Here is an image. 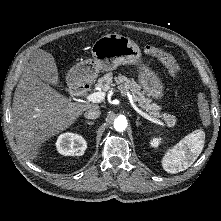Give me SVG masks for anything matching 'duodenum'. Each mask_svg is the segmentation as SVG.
I'll return each instance as SVG.
<instances>
[{
	"label": "duodenum",
	"mask_w": 221,
	"mask_h": 221,
	"mask_svg": "<svg viewBox=\"0 0 221 221\" xmlns=\"http://www.w3.org/2000/svg\"><path fill=\"white\" fill-rule=\"evenodd\" d=\"M88 90V85L84 83H75L72 86V91L75 95H82Z\"/></svg>",
	"instance_id": "obj_1"
}]
</instances>
